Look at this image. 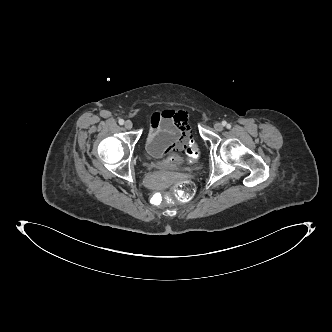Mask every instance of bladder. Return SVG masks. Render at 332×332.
Here are the masks:
<instances>
[{
	"mask_svg": "<svg viewBox=\"0 0 332 332\" xmlns=\"http://www.w3.org/2000/svg\"><path fill=\"white\" fill-rule=\"evenodd\" d=\"M144 164L149 167H176L183 165L184 161L181 156L175 152L163 149L158 153H151L146 146Z\"/></svg>",
	"mask_w": 332,
	"mask_h": 332,
	"instance_id": "obj_1",
	"label": "bladder"
}]
</instances>
